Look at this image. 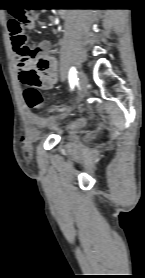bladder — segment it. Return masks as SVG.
<instances>
[{
    "label": "bladder",
    "mask_w": 145,
    "mask_h": 278,
    "mask_svg": "<svg viewBox=\"0 0 145 278\" xmlns=\"http://www.w3.org/2000/svg\"><path fill=\"white\" fill-rule=\"evenodd\" d=\"M84 124L82 123V124H79V125H77L76 126V128H80V127H82Z\"/></svg>",
    "instance_id": "1"
}]
</instances>
